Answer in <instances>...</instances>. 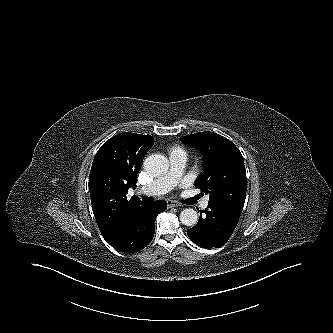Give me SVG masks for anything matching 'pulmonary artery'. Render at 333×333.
I'll use <instances>...</instances> for the list:
<instances>
[{"label": "pulmonary artery", "instance_id": "e3ab8cb5", "mask_svg": "<svg viewBox=\"0 0 333 333\" xmlns=\"http://www.w3.org/2000/svg\"><path fill=\"white\" fill-rule=\"evenodd\" d=\"M187 161V156L186 154L182 152H175L170 155V165L171 168L169 172L149 183L145 187L141 189V192L147 195L151 196H157V195H162L167 193L169 190H171L177 182L181 179L182 177V172L183 169L186 165ZM209 202V198L205 197L204 200L201 203L202 208H207Z\"/></svg>", "mask_w": 333, "mask_h": 333}]
</instances>
